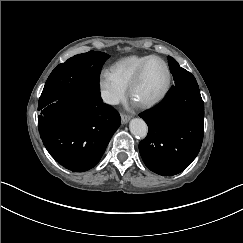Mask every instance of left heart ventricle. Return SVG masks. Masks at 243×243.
<instances>
[{
    "label": "left heart ventricle",
    "mask_w": 243,
    "mask_h": 243,
    "mask_svg": "<svg viewBox=\"0 0 243 243\" xmlns=\"http://www.w3.org/2000/svg\"><path fill=\"white\" fill-rule=\"evenodd\" d=\"M168 72L165 65L157 60L149 63L133 91V99L139 104L157 98L166 88Z\"/></svg>",
    "instance_id": "1"
}]
</instances>
